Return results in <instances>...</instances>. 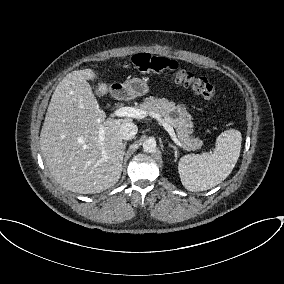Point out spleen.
Masks as SVG:
<instances>
[{
	"label": "spleen",
	"mask_w": 284,
	"mask_h": 284,
	"mask_svg": "<svg viewBox=\"0 0 284 284\" xmlns=\"http://www.w3.org/2000/svg\"><path fill=\"white\" fill-rule=\"evenodd\" d=\"M241 142V132L229 129L217 137L214 152L183 156L178 163L183 186L197 192L208 190L224 181L238 161Z\"/></svg>",
	"instance_id": "3e777b00"
}]
</instances>
